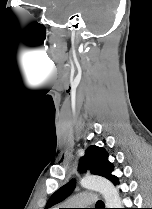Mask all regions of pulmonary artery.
<instances>
[{"label":"pulmonary artery","instance_id":"obj_1","mask_svg":"<svg viewBox=\"0 0 152 209\" xmlns=\"http://www.w3.org/2000/svg\"><path fill=\"white\" fill-rule=\"evenodd\" d=\"M96 202H97V195L95 193L82 192L68 199L64 203V208L65 209H80L83 207L93 205Z\"/></svg>","mask_w":152,"mask_h":209}]
</instances>
